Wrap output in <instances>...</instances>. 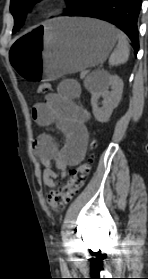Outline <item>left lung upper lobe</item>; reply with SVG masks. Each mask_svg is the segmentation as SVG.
Here are the masks:
<instances>
[{"instance_id": "5c2ea615", "label": "left lung upper lobe", "mask_w": 148, "mask_h": 279, "mask_svg": "<svg viewBox=\"0 0 148 279\" xmlns=\"http://www.w3.org/2000/svg\"><path fill=\"white\" fill-rule=\"evenodd\" d=\"M41 0H11L10 2V11L15 19V25L13 32H16L24 24L26 18V13L30 8ZM77 0H66L70 7L75 4Z\"/></svg>"}]
</instances>
